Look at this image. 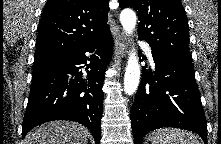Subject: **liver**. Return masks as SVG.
<instances>
[{"instance_id": "1", "label": "liver", "mask_w": 221, "mask_h": 144, "mask_svg": "<svg viewBox=\"0 0 221 144\" xmlns=\"http://www.w3.org/2000/svg\"><path fill=\"white\" fill-rule=\"evenodd\" d=\"M88 130L75 122L52 121L31 130L24 144H87Z\"/></svg>"}]
</instances>
